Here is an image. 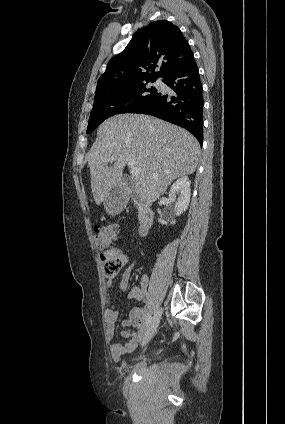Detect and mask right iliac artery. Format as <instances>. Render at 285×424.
Returning <instances> with one entry per match:
<instances>
[{
    "mask_svg": "<svg viewBox=\"0 0 285 424\" xmlns=\"http://www.w3.org/2000/svg\"><path fill=\"white\" fill-rule=\"evenodd\" d=\"M147 322H146V326L148 327L149 326V324H150V322H151V315L150 314H148V316H147V320H146Z\"/></svg>",
    "mask_w": 285,
    "mask_h": 424,
    "instance_id": "obj_1",
    "label": "right iliac artery"
}]
</instances>
